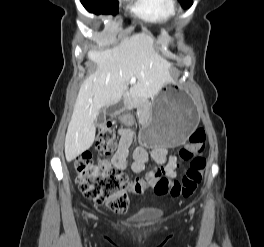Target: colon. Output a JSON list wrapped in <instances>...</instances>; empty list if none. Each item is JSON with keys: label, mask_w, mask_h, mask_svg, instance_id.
Wrapping results in <instances>:
<instances>
[{"label": "colon", "mask_w": 264, "mask_h": 247, "mask_svg": "<svg viewBox=\"0 0 264 247\" xmlns=\"http://www.w3.org/2000/svg\"><path fill=\"white\" fill-rule=\"evenodd\" d=\"M116 134L110 122L102 126L96 138L95 147L99 152L96 160L88 152L82 153L75 161L76 183L80 192L99 205H105L117 213H124L130 205V195H142L141 181H130L120 170L109 163V156L115 150ZM206 134L203 128L195 130L184 148L179 152L180 162L190 161V166L181 180H168L164 167H158L145 179L155 180L152 189L157 195L170 194L173 197H190L202 180L206 160L201 155L205 148Z\"/></svg>", "instance_id": "colon-1"}]
</instances>
